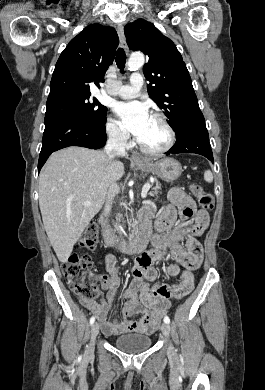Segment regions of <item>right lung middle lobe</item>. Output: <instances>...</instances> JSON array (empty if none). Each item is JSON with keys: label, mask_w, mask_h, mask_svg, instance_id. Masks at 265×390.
I'll use <instances>...</instances> for the list:
<instances>
[{"label": "right lung middle lobe", "mask_w": 265, "mask_h": 390, "mask_svg": "<svg viewBox=\"0 0 265 390\" xmlns=\"http://www.w3.org/2000/svg\"><path fill=\"white\" fill-rule=\"evenodd\" d=\"M91 94H70L48 99L46 115L68 114L80 117L94 124L106 121L107 108L91 98Z\"/></svg>", "instance_id": "1"}]
</instances>
